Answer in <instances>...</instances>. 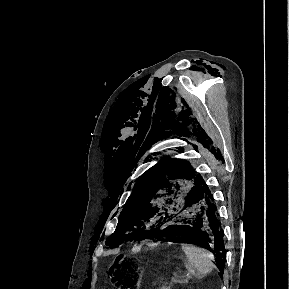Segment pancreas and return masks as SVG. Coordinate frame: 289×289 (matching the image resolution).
Returning <instances> with one entry per match:
<instances>
[{
  "label": "pancreas",
  "mask_w": 289,
  "mask_h": 289,
  "mask_svg": "<svg viewBox=\"0 0 289 289\" xmlns=\"http://www.w3.org/2000/svg\"><path fill=\"white\" fill-rule=\"evenodd\" d=\"M161 289H172V285H169V286H167V285H164V286H162V288Z\"/></svg>",
  "instance_id": "obj_1"
}]
</instances>
